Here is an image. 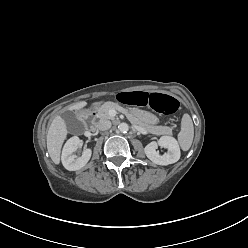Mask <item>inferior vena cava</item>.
<instances>
[{"mask_svg":"<svg viewBox=\"0 0 248 248\" xmlns=\"http://www.w3.org/2000/svg\"><path fill=\"white\" fill-rule=\"evenodd\" d=\"M97 126L100 131H105L111 128V122L109 120H100Z\"/></svg>","mask_w":248,"mask_h":248,"instance_id":"602c4592","label":"inferior vena cava"}]
</instances>
